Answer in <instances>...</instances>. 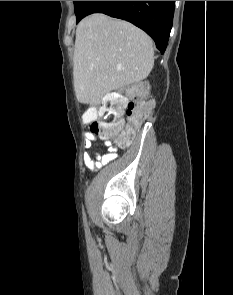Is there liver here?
<instances>
[{
	"mask_svg": "<svg viewBox=\"0 0 233 295\" xmlns=\"http://www.w3.org/2000/svg\"><path fill=\"white\" fill-rule=\"evenodd\" d=\"M73 62L76 97L93 105L105 94L149 75L153 41L129 22L94 13L77 26Z\"/></svg>",
	"mask_w": 233,
	"mask_h": 295,
	"instance_id": "1",
	"label": "liver"
}]
</instances>
